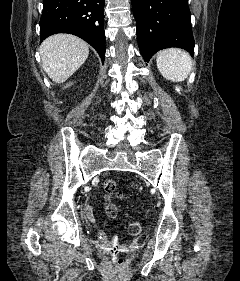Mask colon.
Listing matches in <instances>:
<instances>
[{
  "label": "colon",
  "instance_id": "5ec220e1",
  "mask_svg": "<svg viewBox=\"0 0 240 281\" xmlns=\"http://www.w3.org/2000/svg\"><path fill=\"white\" fill-rule=\"evenodd\" d=\"M106 193V203L104 206V212L109 218H116L118 215V207L115 203L111 202L110 197L112 195L121 196V192L118 190L117 183L114 179H108L104 184ZM128 231L131 234H138L141 231V223L133 220L128 224ZM111 261L116 266H123L125 259L121 256L122 250L119 244L114 243L108 248Z\"/></svg>",
  "mask_w": 240,
  "mask_h": 281
}]
</instances>
